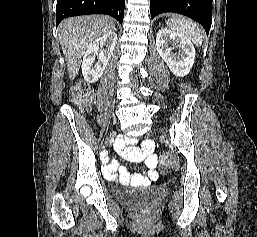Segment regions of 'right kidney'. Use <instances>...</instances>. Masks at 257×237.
I'll list each match as a JSON object with an SVG mask.
<instances>
[{"label":"right kidney","instance_id":"1","mask_svg":"<svg viewBox=\"0 0 257 237\" xmlns=\"http://www.w3.org/2000/svg\"><path fill=\"white\" fill-rule=\"evenodd\" d=\"M116 40L117 34L110 31L95 39L88 46L81 65L83 77L88 83H95L102 76L113 53ZM104 45L106 48L102 50ZM96 56L98 61L94 63Z\"/></svg>","mask_w":257,"mask_h":237}]
</instances>
